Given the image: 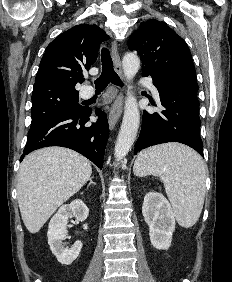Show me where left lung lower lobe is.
Here are the masks:
<instances>
[{
	"label": "left lung lower lobe",
	"instance_id": "obj_1",
	"mask_svg": "<svg viewBox=\"0 0 232 282\" xmlns=\"http://www.w3.org/2000/svg\"><path fill=\"white\" fill-rule=\"evenodd\" d=\"M153 84L159 92L164 110L160 113L143 112L135 154L149 146L180 142L192 147L203 157L197 82L153 78Z\"/></svg>",
	"mask_w": 232,
	"mask_h": 282
}]
</instances>
